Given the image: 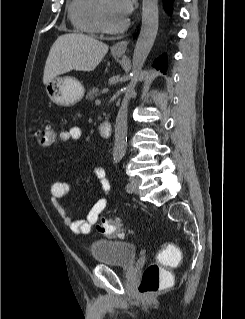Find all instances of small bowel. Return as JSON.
Wrapping results in <instances>:
<instances>
[{"label": "small bowel", "mask_w": 245, "mask_h": 319, "mask_svg": "<svg viewBox=\"0 0 245 319\" xmlns=\"http://www.w3.org/2000/svg\"><path fill=\"white\" fill-rule=\"evenodd\" d=\"M82 134V129L79 126L72 125L60 133V142L79 141ZM94 174L100 183L102 195L90 208L86 218L82 220H74L68 208L60 201L70 191L69 182L60 180L53 182L51 185L50 199L52 206L63 222L76 234H89L91 232L92 227L97 222L100 214L107 208L111 198V185L106 170L102 167H95Z\"/></svg>", "instance_id": "obj_1"}]
</instances>
